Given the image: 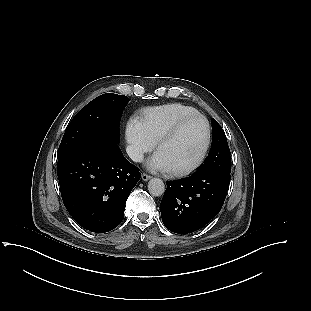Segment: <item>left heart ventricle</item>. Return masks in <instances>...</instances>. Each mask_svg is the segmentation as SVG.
Returning <instances> with one entry per match:
<instances>
[{"mask_svg": "<svg viewBox=\"0 0 311 311\" xmlns=\"http://www.w3.org/2000/svg\"><path fill=\"white\" fill-rule=\"evenodd\" d=\"M206 138L203 120L194 118L185 123L177 135L163 143L158 151L162 154L170 169L191 164L200 154Z\"/></svg>", "mask_w": 311, "mask_h": 311, "instance_id": "1", "label": "left heart ventricle"}]
</instances>
